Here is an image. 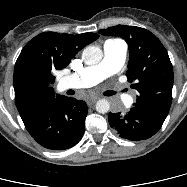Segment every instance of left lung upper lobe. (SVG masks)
<instances>
[{
	"label": "left lung upper lobe",
	"mask_w": 187,
	"mask_h": 187,
	"mask_svg": "<svg viewBox=\"0 0 187 187\" xmlns=\"http://www.w3.org/2000/svg\"><path fill=\"white\" fill-rule=\"evenodd\" d=\"M99 33L126 40L130 53L126 76L138 91L134 107L164 121L172 102L173 68L160 40L137 26L117 25Z\"/></svg>",
	"instance_id": "5c2ea615"
}]
</instances>
